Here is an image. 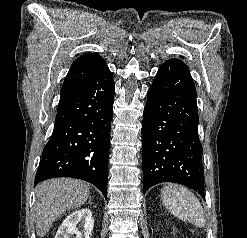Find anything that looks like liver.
I'll return each instance as SVG.
<instances>
[{
	"label": "liver",
	"mask_w": 247,
	"mask_h": 238,
	"mask_svg": "<svg viewBox=\"0 0 247 238\" xmlns=\"http://www.w3.org/2000/svg\"><path fill=\"white\" fill-rule=\"evenodd\" d=\"M35 191L36 231L40 237L65 211L80 207L90 196L89 188L83 181L70 178L44 181Z\"/></svg>",
	"instance_id": "6515ba94"
}]
</instances>
